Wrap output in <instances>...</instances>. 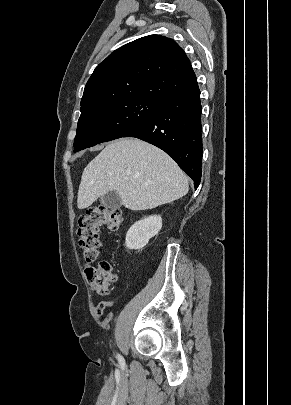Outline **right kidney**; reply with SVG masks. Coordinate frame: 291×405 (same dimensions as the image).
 Listing matches in <instances>:
<instances>
[{
	"mask_svg": "<svg viewBox=\"0 0 291 405\" xmlns=\"http://www.w3.org/2000/svg\"><path fill=\"white\" fill-rule=\"evenodd\" d=\"M162 227L161 216L152 215L133 224L126 234L125 244L128 249L140 250L154 237Z\"/></svg>",
	"mask_w": 291,
	"mask_h": 405,
	"instance_id": "right-kidney-1",
	"label": "right kidney"
}]
</instances>
